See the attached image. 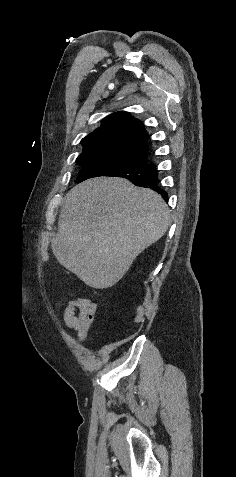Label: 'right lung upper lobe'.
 I'll return each mask as SVG.
<instances>
[{"label":"right lung upper lobe","mask_w":236,"mask_h":477,"mask_svg":"<svg viewBox=\"0 0 236 477\" xmlns=\"http://www.w3.org/2000/svg\"><path fill=\"white\" fill-rule=\"evenodd\" d=\"M149 136L143 124L127 112H116L104 119L102 126L82 139V160H107L131 166L135 157L147 158Z\"/></svg>","instance_id":"cb5924a9"}]
</instances>
